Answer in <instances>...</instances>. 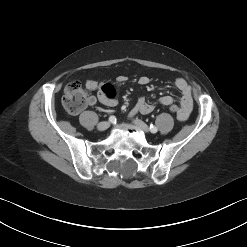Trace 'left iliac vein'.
I'll return each mask as SVG.
<instances>
[{"instance_id": "1", "label": "left iliac vein", "mask_w": 247, "mask_h": 247, "mask_svg": "<svg viewBox=\"0 0 247 247\" xmlns=\"http://www.w3.org/2000/svg\"><path fill=\"white\" fill-rule=\"evenodd\" d=\"M133 123L140 128L141 130H143L144 132H149V127L146 123H144L143 121L139 120V119H134Z\"/></svg>"}]
</instances>
